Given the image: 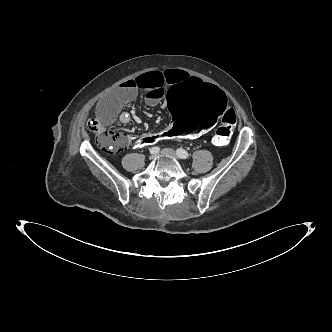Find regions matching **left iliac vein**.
Returning <instances> with one entry per match:
<instances>
[{
	"label": "left iliac vein",
	"instance_id": "1",
	"mask_svg": "<svg viewBox=\"0 0 332 332\" xmlns=\"http://www.w3.org/2000/svg\"><path fill=\"white\" fill-rule=\"evenodd\" d=\"M161 154L171 156V157L176 158V159L179 158L178 155L176 154V152L173 149H170V148L162 149Z\"/></svg>",
	"mask_w": 332,
	"mask_h": 332
}]
</instances>
